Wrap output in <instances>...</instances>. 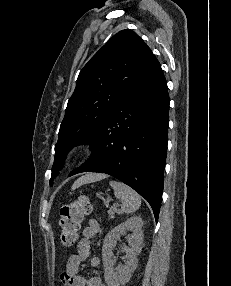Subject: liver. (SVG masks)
<instances>
[{"instance_id":"liver-1","label":"liver","mask_w":231,"mask_h":286,"mask_svg":"<svg viewBox=\"0 0 231 286\" xmlns=\"http://www.w3.org/2000/svg\"><path fill=\"white\" fill-rule=\"evenodd\" d=\"M106 175L104 174H87L85 176L80 177L72 186V190H75L76 188L80 187L83 184L95 182L101 179H104Z\"/></svg>"}]
</instances>
